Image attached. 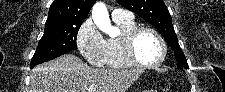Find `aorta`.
<instances>
[{"label": "aorta", "mask_w": 225, "mask_h": 92, "mask_svg": "<svg viewBox=\"0 0 225 92\" xmlns=\"http://www.w3.org/2000/svg\"><path fill=\"white\" fill-rule=\"evenodd\" d=\"M92 19L95 25L104 33L113 36L117 28L113 27L110 22L109 13L106 5L102 2H97L92 8Z\"/></svg>", "instance_id": "762f6f07"}]
</instances>
